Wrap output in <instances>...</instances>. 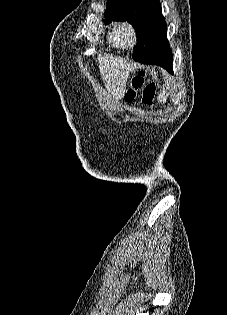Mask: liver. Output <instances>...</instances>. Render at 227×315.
I'll list each match as a JSON object with an SVG mask.
<instances>
[{
	"label": "liver",
	"mask_w": 227,
	"mask_h": 315,
	"mask_svg": "<svg viewBox=\"0 0 227 315\" xmlns=\"http://www.w3.org/2000/svg\"><path fill=\"white\" fill-rule=\"evenodd\" d=\"M98 61L108 95H112L117 101L120 100L125 95L127 79L133 66L119 57L99 56Z\"/></svg>",
	"instance_id": "obj_1"
}]
</instances>
